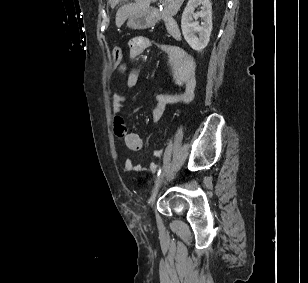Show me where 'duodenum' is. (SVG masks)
<instances>
[{"instance_id":"duodenum-1","label":"duodenum","mask_w":308,"mask_h":283,"mask_svg":"<svg viewBox=\"0 0 308 283\" xmlns=\"http://www.w3.org/2000/svg\"><path fill=\"white\" fill-rule=\"evenodd\" d=\"M163 21L168 34L175 40L181 38V32L177 21L169 16H165L157 10L149 9L146 12L145 23L147 25H154Z\"/></svg>"}]
</instances>
